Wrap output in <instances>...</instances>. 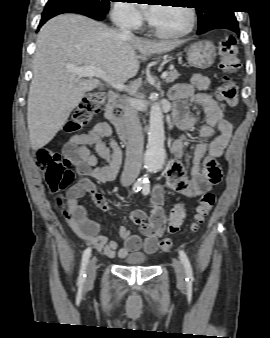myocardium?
Listing matches in <instances>:
<instances>
[{
	"label": "myocardium",
	"mask_w": 270,
	"mask_h": 338,
	"mask_svg": "<svg viewBox=\"0 0 270 338\" xmlns=\"http://www.w3.org/2000/svg\"><path fill=\"white\" fill-rule=\"evenodd\" d=\"M184 8H186L188 10V13H189V16H190L189 24L185 29L178 31V32H172V33L162 32V31L156 29L155 26L153 25V23L150 22L149 27H150L151 31L157 37L164 38V39H178V38H182V37H185L188 34H190L196 26L197 15H196L195 10L192 7H190L189 5L186 4Z\"/></svg>",
	"instance_id": "myocardium-1"
}]
</instances>
